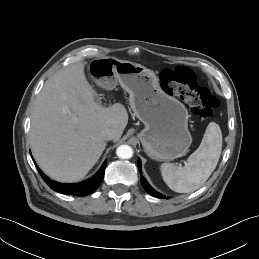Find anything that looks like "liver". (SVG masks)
Wrapping results in <instances>:
<instances>
[{"mask_svg":"<svg viewBox=\"0 0 259 259\" xmlns=\"http://www.w3.org/2000/svg\"><path fill=\"white\" fill-rule=\"evenodd\" d=\"M79 63L51 76L31 113L30 145L39 167L59 182H77L97 163L106 148L102 131H115L118 141L127 126L126 108L103 107Z\"/></svg>","mask_w":259,"mask_h":259,"instance_id":"6515ba94","label":"liver"}]
</instances>
